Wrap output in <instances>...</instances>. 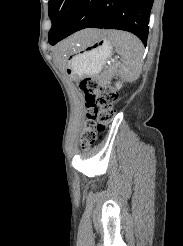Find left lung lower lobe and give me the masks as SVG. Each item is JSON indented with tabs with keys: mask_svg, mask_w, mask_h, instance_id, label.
<instances>
[{
	"mask_svg": "<svg viewBox=\"0 0 183 246\" xmlns=\"http://www.w3.org/2000/svg\"><path fill=\"white\" fill-rule=\"evenodd\" d=\"M154 0H79L75 10L51 45L84 28L125 30L146 46L149 16Z\"/></svg>",
	"mask_w": 183,
	"mask_h": 246,
	"instance_id": "obj_1",
	"label": "left lung lower lobe"
}]
</instances>
